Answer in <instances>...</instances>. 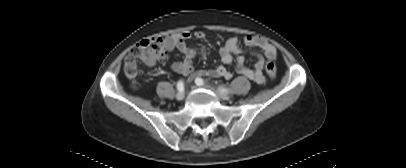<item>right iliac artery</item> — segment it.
Returning <instances> with one entry per match:
<instances>
[{
    "label": "right iliac artery",
    "mask_w": 406,
    "mask_h": 168,
    "mask_svg": "<svg viewBox=\"0 0 406 168\" xmlns=\"http://www.w3.org/2000/svg\"><path fill=\"white\" fill-rule=\"evenodd\" d=\"M177 89H178V91H180V92H183V91H184V82H183L182 80L178 81V83H177Z\"/></svg>",
    "instance_id": "82829eb1"
}]
</instances>
